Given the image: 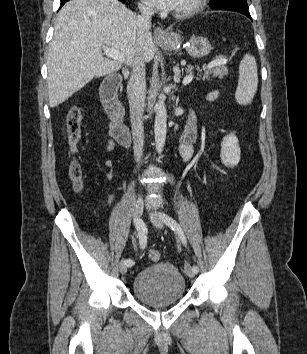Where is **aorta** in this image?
Segmentation results:
<instances>
[{
	"mask_svg": "<svg viewBox=\"0 0 307 354\" xmlns=\"http://www.w3.org/2000/svg\"><path fill=\"white\" fill-rule=\"evenodd\" d=\"M163 97H159L155 105L154 137L155 147L158 153L163 151L167 133V110Z\"/></svg>",
	"mask_w": 307,
	"mask_h": 354,
	"instance_id": "aorta-1",
	"label": "aorta"
}]
</instances>
